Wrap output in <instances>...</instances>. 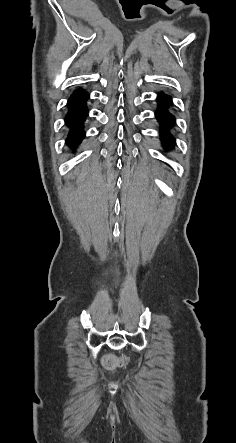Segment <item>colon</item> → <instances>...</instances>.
<instances>
[{
  "label": "colon",
  "mask_w": 236,
  "mask_h": 443,
  "mask_svg": "<svg viewBox=\"0 0 236 443\" xmlns=\"http://www.w3.org/2000/svg\"><path fill=\"white\" fill-rule=\"evenodd\" d=\"M105 363H106L108 366H113V365H115V364L117 363V361H116L114 358H112V357H107V358L105 359Z\"/></svg>",
  "instance_id": "obj_1"
}]
</instances>
